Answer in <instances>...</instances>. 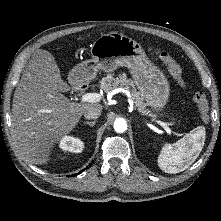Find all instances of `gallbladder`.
Instances as JSON below:
<instances>
[{"instance_id": "1", "label": "gallbladder", "mask_w": 221, "mask_h": 221, "mask_svg": "<svg viewBox=\"0 0 221 221\" xmlns=\"http://www.w3.org/2000/svg\"><path fill=\"white\" fill-rule=\"evenodd\" d=\"M32 64L38 70L42 80L47 84H55L58 91H67L68 85L61 80L56 70L55 58L45 51H38L32 57Z\"/></svg>"}]
</instances>
